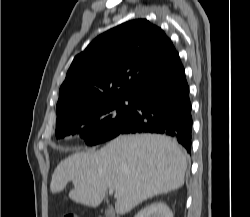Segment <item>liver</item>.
<instances>
[{"mask_svg":"<svg viewBox=\"0 0 250 217\" xmlns=\"http://www.w3.org/2000/svg\"><path fill=\"white\" fill-rule=\"evenodd\" d=\"M186 157L178 144L156 134L120 135L97 151L76 152L56 167L50 191L96 208L108 188L115 190V211L124 215L143 201L184 184Z\"/></svg>","mask_w":250,"mask_h":217,"instance_id":"obj_1","label":"liver"}]
</instances>
